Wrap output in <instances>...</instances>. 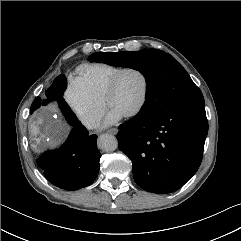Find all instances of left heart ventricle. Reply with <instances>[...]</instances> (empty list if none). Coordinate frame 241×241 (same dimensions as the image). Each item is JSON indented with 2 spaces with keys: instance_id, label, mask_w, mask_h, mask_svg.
I'll list each match as a JSON object with an SVG mask.
<instances>
[{
  "instance_id": "b2bd125f",
  "label": "left heart ventricle",
  "mask_w": 241,
  "mask_h": 241,
  "mask_svg": "<svg viewBox=\"0 0 241 241\" xmlns=\"http://www.w3.org/2000/svg\"><path fill=\"white\" fill-rule=\"evenodd\" d=\"M143 88V78L138 72H125L109 98L107 107L117 110L124 116L137 106L142 97Z\"/></svg>"
}]
</instances>
